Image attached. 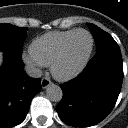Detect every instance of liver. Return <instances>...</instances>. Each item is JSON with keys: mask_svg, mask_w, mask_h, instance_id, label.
I'll return each instance as SVG.
<instances>
[{"mask_svg": "<svg viewBox=\"0 0 128 128\" xmlns=\"http://www.w3.org/2000/svg\"><path fill=\"white\" fill-rule=\"evenodd\" d=\"M2 61H3V56L2 53L0 52V65L2 64Z\"/></svg>", "mask_w": 128, "mask_h": 128, "instance_id": "1", "label": "liver"}]
</instances>
